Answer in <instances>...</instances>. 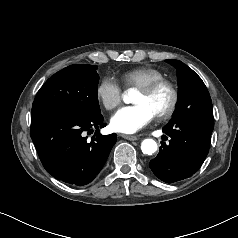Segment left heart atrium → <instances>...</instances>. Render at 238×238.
<instances>
[{
  "instance_id": "obj_1",
  "label": "left heart atrium",
  "mask_w": 238,
  "mask_h": 238,
  "mask_svg": "<svg viewBox=\"0 0 238 238\" xmlns=\"http://www.w3.org/2000/svg\"><path fill=\"white\" fill-rule=\"evenodd\" d=\"M155 116L145 103L124 106L112 116L111 127L117 132L132 134L147 126Z\"/></svg>"
}]
</instances>
